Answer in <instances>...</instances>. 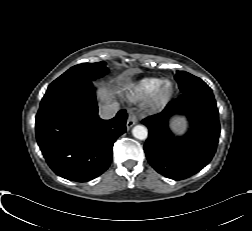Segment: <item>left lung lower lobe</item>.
Instances as JSON below:
<instances>
[{
	"label": "left lung lower lobe",
	"instance_id": "left-lung-lower-lobe-1",
	"mask_svg": "<svg viewBox=\"0 0 252 231\" xmlns=\"http://www.w3.org/2000/svg\"><path fill=\"white\" fill-rule=\"evenodd\" d=\"M183 114L191 131L175 137L168 127L169 118ZM149 129L144 151L150 165L165 177L181 180L199 172L213 158L220 135L218 109L212 90L183 92L159 114L142 120Z\"/></svg>",
	"mask_w": 252,
	"mask_h": 231
}]
</instances>
